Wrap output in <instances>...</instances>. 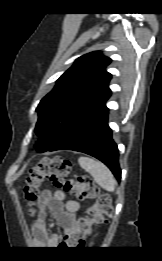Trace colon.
Segmentation results:
<instances>
[{
	"instance_id": "5ec220e1",
	"label": "colon",
	"mask_w": 162,
	"mask_h": 261,
	"mask_svg": "<svg viewBox=\"0 0 162 261\" xmlns=\"http://www.w3.org/2000/svg\"><path fill=\"white\" fill-rule=\"evenodd\" d=\"M71 162L64 157L43 158L30 168L26 176L24 194L28 201H35L40 193L41 185L48 180L56 187H63L77 199L97 198L96 203L88 208L76 223L74 231L64 241L73 247H84L93 224L104 222V216L112 213L111 198L108 194H100L98 186L86 175L70 176Z\"/></svg>"
}]
</instances>
